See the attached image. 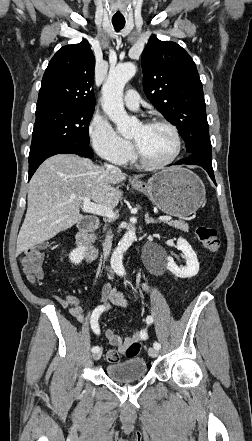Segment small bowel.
Returning <instances> with one entry per match:
<instances>
[{
  "instance_id": "c3829d8e",
  "label": "small bowel",
  "mask_w": 252,
  "mask_h": 441,
  "mask_svg": "<svg viewBox=\"0 0 252 441\" xmlns=\"http://www.w3.org/2000/svg\"><path fill=\"white\" fill-rule=\"evenodd\" d=\"M143 289L148 290V286L143 284ZM57 302L63 307L70 311L72 317L81 324L85 323V314L83 307L81 306V301L78 297L74 295H66L64 297H56ZM100 303L108 307L109 304H113L119 307H126L128 302L125 296L117 290L115 286L110 284H105L102 288ZM105 338L108 343L115 347L121 354H125L128 347L140 340L138 332L130 335L126 338H121L113 329H107L105 331Z\"/></svg>"
}]
</instances>
